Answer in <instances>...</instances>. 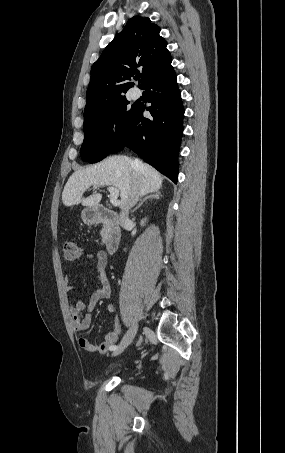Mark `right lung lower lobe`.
<instances>
[{
  "instance_id": "98d812e1",
  "label": "right lung lower lobe",
  "mask_w": 285,
  "mask_h": 453,
  "mask_svg": "<svg viewBox=\"0 0 285 453\" xmlns=\"http://www.w3.org/2000/svg\"><path fill=\"white\" fill-rule=\"evenodd\" d=\"M143 88L151 106H137L125 135L111 153L127 146L177 183L184 109L173 67L153 76ZM145 109L150 111L151 119L143 117Z\"/></svg>"
}]
</instances>
